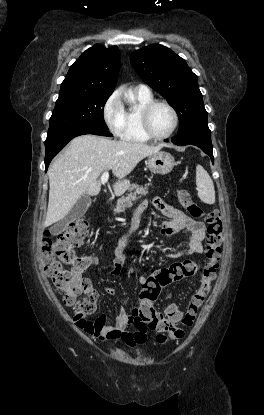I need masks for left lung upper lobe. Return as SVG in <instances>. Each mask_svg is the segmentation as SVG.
<instances>
[{
    "label": "left lung upper lobe",
    "instance_id": "5c2ea615",
    "mask_svg": "<svg viewBox=\"0 0 264 415\" xmlns=\"http://www.w3.org/2000/svg\"><path fill=\"white\" fill-rule=\"evenodd\" d=\"M130 61L137 74L176 110L178 134L208 124L197 76L184 59L167 47L153 44L133 52Z\"/></svg>",
    "mask_w": 264,
    "mask_h": 415
}]
</instances>
